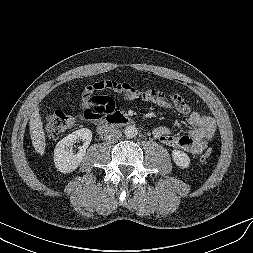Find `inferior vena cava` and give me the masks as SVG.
Listing matches in <instances>:
<instances>
[{
  "label": "inferior vena cava",
  "instance_id": "inferior-vena-cava-1",
  "mask_svg": "<svg viewBox=\"0 0 253 253\" xmlns=\"http://www.w3.org/2000/svg\"><path fill=\"white\" fill-rule=\"evenodd\" d=\"M122 133L117 128H107L104 133V139L108 141H116L120 139Z\"/></svg>",
  "mask_w": 253,
  "mask_h": 253
}]
</instances>
